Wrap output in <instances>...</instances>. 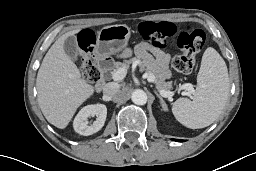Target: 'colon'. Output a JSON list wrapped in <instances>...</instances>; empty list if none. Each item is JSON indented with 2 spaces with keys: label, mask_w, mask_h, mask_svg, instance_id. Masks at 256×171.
Returning <instances> with one entry per match:
<instances>
[{
  "label": "colon",
  "mask_w": 256,
  "mask_h": 171,
  "mask_svg": "<svg viewBox=\"0 0 256 171\" xmlns=\"http://www.w3.org/2000/svg\"><path fill=\"white\" fill-rule=\"evenodd\" d=\"M139 35L150 46L156 49L165 48L170 41L177 44L180 54L172 60L173 68L182 74H190L195 66L196 56L202 50L206 35L203 30L192 27L178 26L169 21H144L139 25ZM94 33L85 29L78 36V44L81 49V71L86 80L96 83L101 76L94 55Z\"/></svg>",
  "instance_id": "obj_1"
}]
</instances>
